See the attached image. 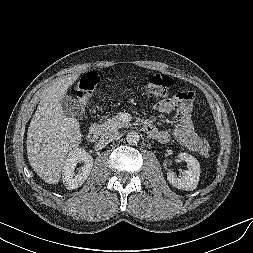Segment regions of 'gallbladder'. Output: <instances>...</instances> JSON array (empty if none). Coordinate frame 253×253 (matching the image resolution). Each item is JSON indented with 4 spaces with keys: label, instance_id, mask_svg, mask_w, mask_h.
<instances>
[{
    "label": "gallbladder",
    "instance_id": "gallbladder-1",
    "mask_svg": "<svg viewBox=\"0 0 253 253\" xmlns=\"http://www.w3.org/2000/svg\"><path fill=\"white\" fill-rule=\"evenodd\" d=\"M61 107L64 114L68 117H77L80 113V105L78 101L69 95H65L61 100Z\"/></svg>",
    "mask_w": 253,
    "mask_h": 253
}]
</instances>
